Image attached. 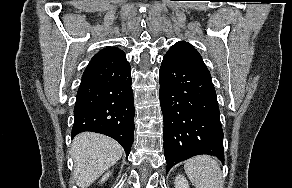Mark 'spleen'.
I'll return each mask as SVG.
<instances>
[{
  "mask_svg": "<svg viewBox=\"0 0 292 188\" xmlns=\"http://www.w3.org/2000/svg\"><path fill=\"white\" fill-rule=\"evenodd\" d=\"M184 170L195 188H223L222 172L213 157H193L185 162Z\"/></svg>",
  "mask_w": 292,
  "mask_h": 188,
  "instance_id": "obj_1",
  "label": "spleen"
}]
</instances>
